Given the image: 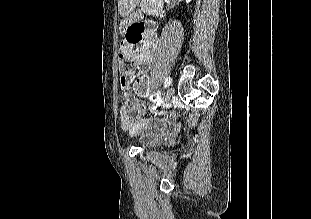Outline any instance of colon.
Instances as JSON below:
<instances>
[{
    "label": "colon",
    "mask_w": 311,
    "mask_h": 219,
    "mask_svg": "<svg viewBox=\"0 0 311 219\" xmlns=\"http://www.w3.org/2000/svg\"><path fill=\"white\" fill-rule=\"evenodd\" d=\"M143 27L141 25H133L128 28L126 33V40L129 42H135L141 33V29ZM135 67V62L133 59L126 55H120L118 58V69L120 72V84L124 86L127 84V75L132 73ZM136 91L140 95H146L148 92L147 83L140 79L136 84Z\"/></svg>",
    "instance_id": "colon-1"
}]
</instances>
